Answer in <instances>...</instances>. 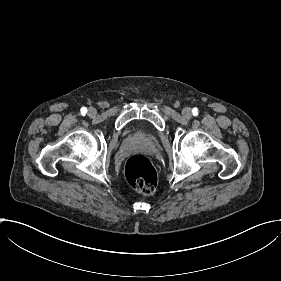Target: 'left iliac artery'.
<instances>
[{"label": "left iliac artery", "mask_w": 281, "mask_h": 281, "mask_svg": "<svg viewBox=\"0 0 281 281\" xmlns=\"http://www.w3.org/2000/svg\"><path fill=\"white\" fill-rule=\"evenodd\" d=\"M192 113H193V115H194V114H198L197 108H193V109H192Z\"/></svg>", "instance_id": "obj_1"}]
</instances>
